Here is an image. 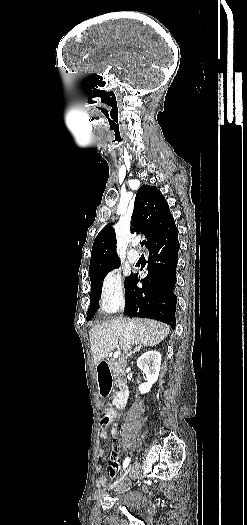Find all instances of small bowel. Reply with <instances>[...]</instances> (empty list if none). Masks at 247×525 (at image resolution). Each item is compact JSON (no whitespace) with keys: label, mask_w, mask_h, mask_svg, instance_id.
<instances>
[{"label":"small bowel","mask_w":247,"mask_h":525,"mask_svg":"<svg viewBox=\"0 0 247 525\" xmlns=\"http://www.w3.org/2000/svg\"><path fill=\"white\" fill-rule=\"evenodd\" d=\"M115 416V415H114ZM99 438L101 441H106L110 438V434L108 431H104V433H100L99 434ZM98 458L99 459H104V451L102 448L99 449L98 451ZM117 459H118V450H114L112 455H111V460H110V464L113 465V470H112V473L113 475H110L111 476V480H116V476H117V473L119 471V464L117 462ZM102 470V466L99 464L96 466V472H101ZM110 474V472H109ZM107 484V477L102 475L100 477H98V479L96 480V486L97 487H105Z\"/></svg>","instance_id":"c3829d8e"}]
</instances>
